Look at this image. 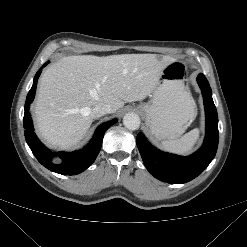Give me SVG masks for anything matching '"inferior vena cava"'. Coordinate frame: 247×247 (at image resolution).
<instances>
[{
    "label": "inferior vena cava",
    "instance_id": "1",
    "mask_svg": "<svg viewBox=\"0 0 247 247\" xmlns=\"http://www.w3.org/2000/svg\"><path fill=\"white\" fill-rule=\"evenodd\" d=\"M113 112L114 109L109 104L98 103L93 107L90 115L93 119H97L105 114H110Z\"/></svg>",
    "mask_w": 247,
    "mask_h": 247
}]
</instances>
